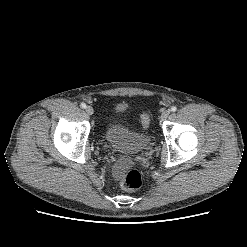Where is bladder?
<instances>
[{"label": "bladder", "instance_id": "obj_1", "mask_svg": "<svg viewBox=\"0 0 247 247\" xmlns=\"http://www.w3.org/2000/svg\"><path fill=\"white\" fill-rule=\"evenodd\" d=\"M125 110L124 105H117L113 111V118L107 123L103 137L112 148L126 154H137L146 150L150 144L148 133H138L125 128L118 117Z\"/></svg>", "mask_w": 247, "mask_h": 247}]
</instances>
